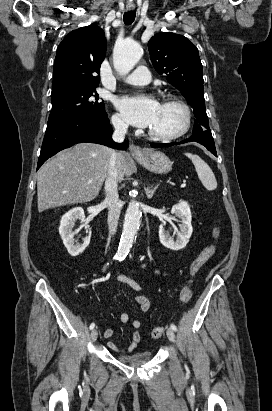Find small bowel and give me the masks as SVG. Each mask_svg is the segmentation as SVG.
Listing matches in <instances>:
<instances>
[{"instance_id":"obj_1","label":"small bowel","mask_w":272,"mask_h":411,"mask_svg":"<svg viewBox=\"0 0 272 411\" xmlns=\"http://www.w3.org/2000/svg\"><path fill=\"white\" fill-rule=\"evenodd\" d=\"M147 266H148L147 263H141L136 270L144 269ZM136 270H133L132 273L135 272ZM132 273L127 274V275H123V276H119V277H117L116 280H117V282H120V283H123V284L127 285L134 292L138 293L134 297V300L138 304L139 310L141 312L145 313L150 309L151 302H150V299L147 296L140 294L141 287L132 278ZM119 320L122 323H127L129 321V315L127 313L123 312V313L120 314ZM132 327H133V333L131 335L130 343L126 348L121 349L112 341H108L107 346L111 350H114V351H121V352H126V353H130V352L134 351L137 348V346H138V344L140 343V340H141V334H140L141 321H140V319H134L133 322H132ZM102 335H103L104 338L110 339L114 335V331L110 328H107V329H104Z\"/></svg>"}]
</instances>
